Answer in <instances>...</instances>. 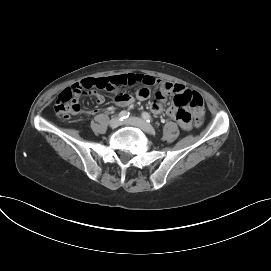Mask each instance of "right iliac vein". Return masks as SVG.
<instances>
[{"instance_id": "1", "label": "right iliac vein", "mask_w": 271, "mask_h": 271, "mask_svg": "<svg viewBox=\"0 0 271 271\" xmlns=\"http://www.w3.org/2000/svg\"><path fill=\"white\" fill-rule=\"evenodd\" d=\"M110 127L112 128H117L118 126L121 125V120L119 117H114L110 120Z\"/></svg>"}]
</instances>
